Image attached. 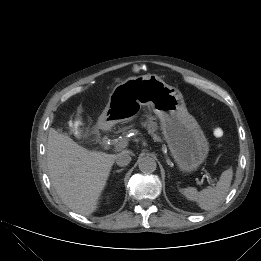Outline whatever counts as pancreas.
<instances>
[{
	"instance_id": "pancreas-1",
	"label": "pancreas",
	"mask_w": 261,
	"mask_h": 261,
	"mask_svg": "<svg viewBox=\"0 0 261 261\" xmlns=\"http://www.w3.org/2000/svg\"><path fill=\"white\" fill-rule=\"evenodd\" d=\"M142 125L148 129V132L153 136L154 140L161 141L160 137L157 134H155V132L157 131L156 122H154L153 120H148Z\"/></svg>"
}]
</instances>
